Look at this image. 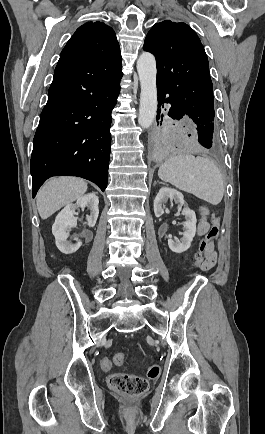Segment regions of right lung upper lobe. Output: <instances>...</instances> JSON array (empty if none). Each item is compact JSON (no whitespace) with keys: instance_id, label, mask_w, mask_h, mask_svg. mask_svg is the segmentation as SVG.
<instances>
[{"instance_id":"right-lung-upper-lobe-1","label":"right lung upper lobe","mask_w":265,"mask_h":434,"mask_svg":"<svg viewBox=\"0 0 265 434\" xmlns=\"http://www.w3.org/2000/svg\"><path fill=\"white\" fill-rule=\"evenodd\" d=\"M120 55L114 30L103 22H87L80 26L60 57L106 58Z\"/></svg>"}]
</instances>
